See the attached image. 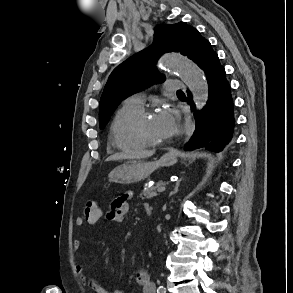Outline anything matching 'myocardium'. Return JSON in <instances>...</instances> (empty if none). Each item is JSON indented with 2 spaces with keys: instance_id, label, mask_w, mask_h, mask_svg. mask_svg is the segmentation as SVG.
<instances>
[{
  "instance_id": "obj_1",
  "label": "myocardium",
  "mask_w": 293,
  "mask_h": 293,
  "mask_svg": "<svg viewBox=\"0 0 293 293\" xmlns=\"http://www.w3.org/2000/svg\"><path fill=\"white\" fill-rule=\"evenodd\" d=\"M155 114L154 110L147 109V110H142L141 113L137 116L136 121H135V132L137 136L147 145L151 147H161L166 144V140L163 141H156L150 139L143 130V122L144 120Z\"/></svg>"
}]
</instances>
